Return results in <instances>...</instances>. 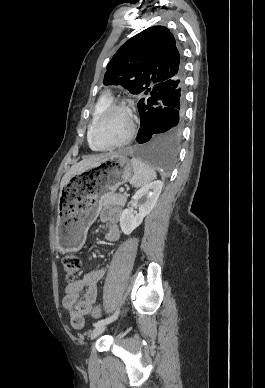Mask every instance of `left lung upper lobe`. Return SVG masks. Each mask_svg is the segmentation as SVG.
Here are the masks:
<instances>
[{"label":"left lung upper lobe","instance_id":"obj_1","mask_svg":"<svg viewBox=\"0 0 265 388\" xmlns=\"http://www.w3.org/2000/svg\"><path fill=\"white\" fill-rule=\"evenodd\" d=\"M184 74L181 55L173 34L164 26L150 27L123 44L107 65L103 83L121 84L139 102L154 94L157 86Z\"/></svg>","mask_w":265,"mask_h":388}]
</instances>
